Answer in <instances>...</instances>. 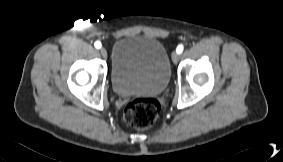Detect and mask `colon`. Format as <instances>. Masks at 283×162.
<instances>
[{
    "label": "colon",
    "mask_w": 283,
    "mask_h": 162,
    "mask_svg": "<svg viewBox=\"0 0 283 162\" xmlns=\"http://www.w3.org/2000/svg\"><path fill=\"white\" fill-rule=\"evenodd\" d=\"M160 104L153 98H136L125 107L124 120L136 129L149 128L158 118Z\"/></svg>",
    "instance_id": "colon-1"
}]
</instances>
